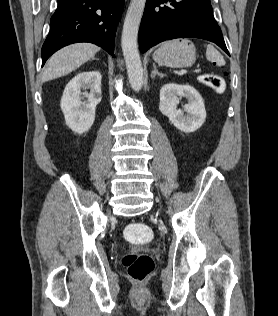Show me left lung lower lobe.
<instances>
[{
	"mask_svg": "<svg viewBox=\"0 0 278 316\" xmlns=\"http://www.w3.org/2000/svg\"><path fill=\"white\" fill-rule=\"evenodd\" d=\"M169 3V6L162 5ZM200 38L217 44L228 55L210 0H147L139 30L141 52L175 38Z\"/></svg>",
	"mask_w": 278,
	"mask_h": 316,
	"instance_id": "obj_1",
	"label": "left lung lower lobe"
}]
</instances>
